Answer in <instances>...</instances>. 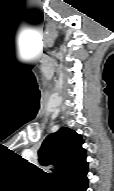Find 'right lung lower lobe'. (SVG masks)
<instances>
[{
  "label": "right lung lower lobe",
  "instance_id": "right-lung-lower-lobe-1",
  "mask_svg": "<svg viewBox=\"0 0 114 191\" xmlns=\"http://www.w3.org/2000/svg\"><path fill=\"white\" fill-rule=\"evenodd\" d=\"M88 168L68 176L59 182L60 191H86L88 187Z\"/></svg>",
  "mask_w": 114,
  "mask_h": 191
}]
</instances>
